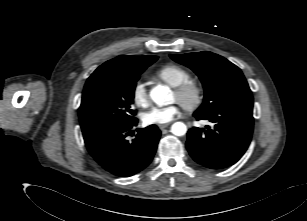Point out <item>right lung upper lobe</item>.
I'll list each match as a JSON object with an SVG mask.
<instances>
[{
    "label": "right lung upper lobe",
    "mask_w": 307,
    "mask_h": 221,
    "mask_svg": "<svg viewBox=\"0 0 307 221\" xmlns=\"http://www.w3.org/2000/svg\"><path fill=\"white\" fill-rule=\"evenodd\" d=\"M154 56H126L122 55L117 58L111 59L99 68H97L93 75L102 73L108 70H118L120 68H128L150 62Z\"/></svg>",
    "instance_id": "cb5924a9"
}]
</instances>
